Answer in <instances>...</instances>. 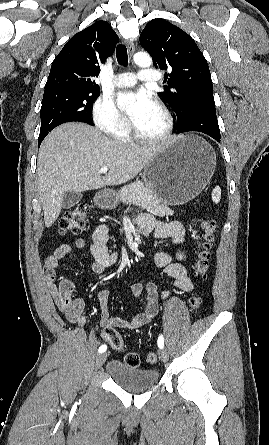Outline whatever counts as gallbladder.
Returning a JSON list of instances; mask_svg holds the SVG:
<instances>
[{
    "mask_svg": "<svg viewBox=\"0 0 269 445\" xmlns=\"http://www.w3.org/2000/svg\"><path fill=\"white\" fill-rule=\"evenodd\" d=\"M81 199H82L81 192L68 191L63 196L62 207L64 209H70L73 206L77 205Z\"/></svg>",
    "mask_w": 269,
    "mask_h": 445,
    "instance_id": "obj_1",
    "label": "gallbladder"
}]
</instances>
